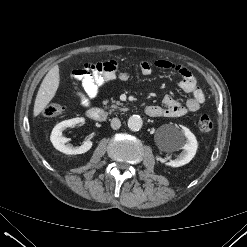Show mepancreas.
Returning a JSON list of instances; mask_svg holds the SVG:
<instances>
[{
    "label": "pancreas",
    "mask_w": 247,
    "mask_h": 247,
    "mask_svg": "<svg viewBox=\"0 0 247 247\" xmlns=\"http://www.w3.org/2000/svg\"><path fill=\"white\" fill-rule=\"evenodd\" d=\"M106 103H107V101H104V104H106ZM117 105L123 106V104H122L120 101H115V104H113V105L111 106V108H113V109L119 108ZM119 109H120V110H123V111L127 110L126 108H119Z\"/></svg>",
    "instance_id": "pancreas-1"
}]
</instances>
